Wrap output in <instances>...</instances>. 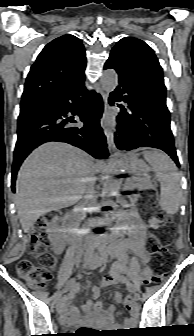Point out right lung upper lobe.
Listing matches in <instances>:
<instances>
[{
	"mask_svg": "<svg viewBox=\"0 0 194 336\" xmlns=\"http://www.w3.org/2000/svg\"><path fill=\"white\" fill-rule=\"evenodd\" d=\"M85 49L77 37L61 36L44 47L32 65L21 106L54 96L84 78Z\"/></svg>",
	"mask_w": 194,
	"mask_h": 336,
	"instance_id": "cb5924a9",
	"label": "right lung upper lobe"
}]
</instances>
